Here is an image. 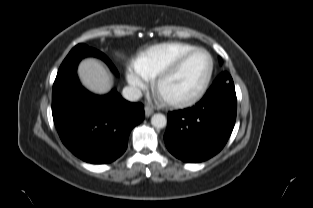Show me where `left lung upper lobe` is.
<instances>
[{"instance_id": "1", "label": "left lung upper lobe", "mask_w": 313, "mask_h": 208, "mask_svg": "<svg viewBox=\"0 0 313 208\" xmlns=\"http://www.w3.org/2000/svg\"><path fill=\"white\" fill-rule=\"evenodd\" d=\"M220 75H223V76H227V77H229L230 75H229V73H227V72H223L222 74H220ZM231 77V76H230Z\"/></svg>"}]
</instances>
